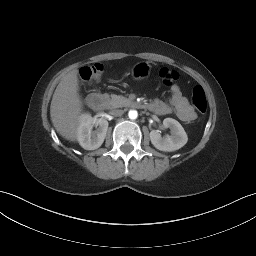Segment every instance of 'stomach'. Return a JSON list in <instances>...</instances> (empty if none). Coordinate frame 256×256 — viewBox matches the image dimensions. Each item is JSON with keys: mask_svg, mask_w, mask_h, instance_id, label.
I'll return each instance as SVG.
<instances>
[{"mask_svg": "<svg viewBox=\"0 0 256 256\" xmlns=\"http://www.w3.org/2000/svg\"><path fill=\"white\" fill-rule=\"evenodd\" d=\"M151 66L146 62H140L133 66L131 75L135 80L145 79L150 75Z\"/></svg>", "mask_w": 256, "mask_h": 256, "instance_id": "stomach-1", "label": "stomach"}]
</instances>
